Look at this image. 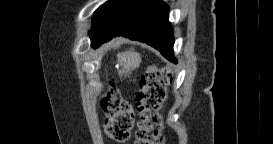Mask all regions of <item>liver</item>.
I'll use <instances>...</instances> for the list:
<instances>
[{"instance_id": "obj_1", "label": "liver", "mask_w": 273, "mask_h": 144, "mask_svg": "<svg viewBox=\"0 0 273 144\" xmlns=\"http://www.w3.org/2000/svg\"><path fill=\"white\" fill-rule=\"evenodd\" d=\"M121 41V38H117L116 42ZM117 63L120 65L118 74L120 78L129 77L135 69L140 66L141 55L133 48L117 54Z\"/></svg>"}]
</instances>
